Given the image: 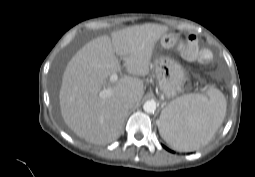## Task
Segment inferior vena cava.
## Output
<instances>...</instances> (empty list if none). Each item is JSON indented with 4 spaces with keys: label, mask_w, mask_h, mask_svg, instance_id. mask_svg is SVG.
Listing matches in <instances>:
<instances>
[{
    "label": "inferior vena cava",
    "mask_w": 255,
    "mask_h": 177,
    "mask_svg": "<svg viewBox=\"0 0 255 177\" xmlns=\"http://www.w3.org/2000/svg\"><path fill=\"white\" fill-rule=\"evenodd\" d=\"M135 105V100L133 98H129L125 101V107L127 109L132 108Z\"/></svg>",
    "instance_id": "obj_1"
}]
</instances>
